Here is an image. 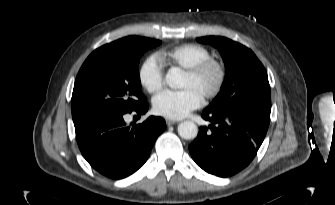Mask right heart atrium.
Masks as SVG:
<instances>
[{"label": "right heart atrium", "instance_id": "1", "mask_svg": "<svg viewBox=\"0 0 335 205\" xmlns=\"http://www.w3.org/2000/svg\"><path fill=\"white\" fill-rule=\"evenodd\" d=\"M139 81L150 93L159 91L164 84V67L157 55L145 59L139 70Z\"/></svg>", "mask_w": 335, "mask_h": 205}]
</instances>
